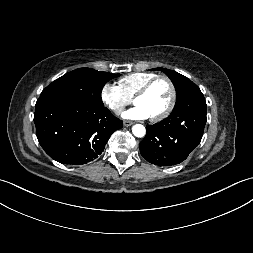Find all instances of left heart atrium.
<instances>
[{
  "label": "left heart atrium",
  "mask_w": 253,
  "mask_h": 253,
  "mask_svg": "<svg viewBox=\"0 0 253 253\" xmlns=\"http://www.w3.org/2000/svg\"><path fill=\"white\" fill-rule=\"evenodd\" d=\"M122 117L126 119H134V120H143V119L150 118L146 110L138 104H135L134 107L125 111L122 114Z\"/></svg>",
  "instance_id": "obj_1"
}]
</instances>
